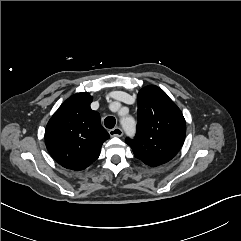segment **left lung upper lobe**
Instances as JSON below:
<instances>
[{"mask_svg": "<svg viewBox=\"0 0 241 241\" xmlns=\"http://www.w3.org/2000/svg\"><path fill=\"white\" fill-rule=\"evenodd\" d=\"M137 133L126 138L136 158L156 167L167 163L178 153L186 135V123L178 106L159 87L140 90Z\"/></svg>", "mask_w": 241, "mask_h": 241, "instance_id": "obj_1", "label": "left lung upper lobe"}]
</instances>
